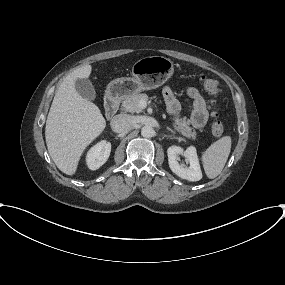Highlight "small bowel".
Wrapping results in <instances>:
<instances>
[{"label": "small bowel", "instance_id": "c3829d8e", "mask_svg": "<svg viewBox=\"0 0 285 285\" xmlns=\"http://www.w3.org/2000/svg\"><path fill=\"white\" fill-rule=\"evenodd\" d=\"M186 92L191 100V124L195 128H202L208 119L209 101L194 87H188ZM163 96L168 112L172 115H176L180 110V105L169 86L163 89Z\"/></svg>", "mask_w": 285, "mask_h": 285}]
</instances>
